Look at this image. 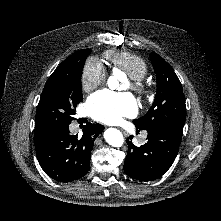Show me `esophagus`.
<instances>
[{"mask_svg":"<svg viewBox=\"0 0 221 221\" xmlns=\"http://www.w3.org/2000/svg\"><path fill=\"white\" fill-rule=\"evenodd\" d=\"M122 131L123 134H126V132L123 129H120Z\"/></svg>","mask_w":221,"mask_h":221,"instance_id":"esophagus-1","label":"esophagus"}]
</instances>
